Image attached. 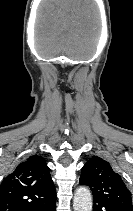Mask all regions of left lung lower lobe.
I'll use <instances>...</instances> for the list:
<instances>
[{"label":"left lung lower lobe","mask_w":133,"mask_h":211,"mask_svg":"<svg viewBox=\"0 0 133 211\" xmlns=\"http://www.w3.org/2000/svg\"><path fill=\"white\" fill-rule=\"evenodd\" d=\"M93 211H122V210L115 207H110L99 201H94Z\"/></svg>","instance_id":"0a47b994"}]
</instances>
